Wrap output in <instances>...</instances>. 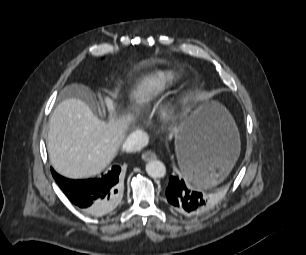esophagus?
<instances>
[{
    "mask_svg": "<svg viewBox=\"0 0 306 255\" xmlns=\"http://www.w3.org/2000/svg\"><path fill=\"white\" fill-rule=\"evenodd\" d=\"M157 155L155 152L151 151V150H148V151H145L143 154H142V159L144 161H151V160H154L156 159Z\"/></svg>",
    "mask_w": 306,
    "mask_h": 255,
    "instance_id": "34e87169",
    "label": "esophagus"
}]
</instances>
